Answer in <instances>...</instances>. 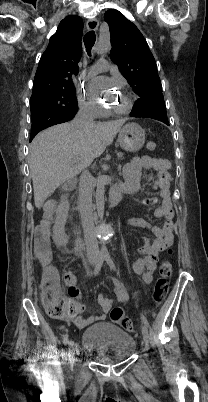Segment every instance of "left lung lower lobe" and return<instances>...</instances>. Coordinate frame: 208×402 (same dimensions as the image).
I'll return each instance as SVG.
<instances>
[{
  "mask_svg": "<svg viewBox=\"0 0 208 402\" xmlns=\"http://www.w3.org/2000/svg\"><path fill=\"white\" fill-rule=\"evenodd\" d=\"M131 117H137V116H134V115H130ZM165 124H167V125H169V123L168 122H164Z\"/></svg>",
  "mask_w": 208,
  "mask_h": 402,
  "instance_id": "left-lung-lower-lobe-1",
  "label": "left lung lower lobe"
}]
</instances>
